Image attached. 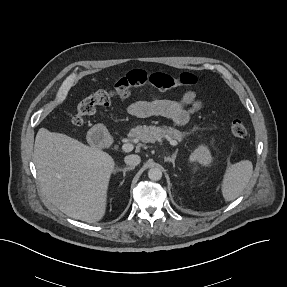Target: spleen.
<instances>
[{"label":"spleen","mask_w":287,"mask_h":287,"mask_svg":"<svg viewBox=\"0 0 287 287\" xmlns=\"http://www.w3.org/2000/svg\"><path fill=\"white\" fill-rule=\"evenodd\" d=\"M253 174V165L249 160H242L229 165L222 179V195L225 201L239 197L246 188Z\"/></svg>","instance_id":"3e777b00"}]
</instances>
